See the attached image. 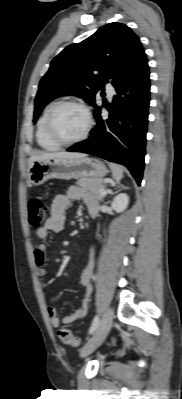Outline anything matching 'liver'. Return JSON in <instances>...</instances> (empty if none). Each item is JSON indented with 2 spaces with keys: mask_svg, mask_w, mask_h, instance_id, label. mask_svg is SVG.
<instances>
[{
  "mask_svg": "<svg viewBox=\"0 0 182 399\" xmlns=\"http://www.w3.org/2000/svg\"><path fill=\"white\" fill-rule=\"evenodd\" d=\"M86 155L83 153L76 152H53V153H42L38 155H32L29 159V166L35 162L46 159H81Z\"/></svg>",
  "mask_w": 182,
  "mask_h": 399,
  "instance_id": "1",
  "label": "liver"
}]
</instances>
